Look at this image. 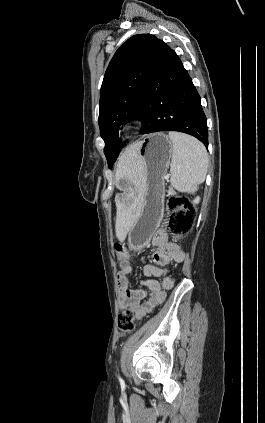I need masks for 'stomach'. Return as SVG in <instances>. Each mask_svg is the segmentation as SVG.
Listing matches in <instances>:
<instances>
[{
	"mask_svg": "<svg viewBox=\"0 0 265 423\" xmlns=\"http://www.w3.org/2000/svg\"><path fill=\"white\" fill-rule=\"evenodd\" d=\"M137 162L143 174L136 195H141L140 212L128 232V243L132 250L139 251L151 240L164 215V176L170 165L173 144L164 133L147 135L137 142Z\"/></svg>",
	"mask_w": 265,
	"mask_h": 423,
	"instance_id": "0dacf381",
	"label": "stomach"
}]
</instances>
